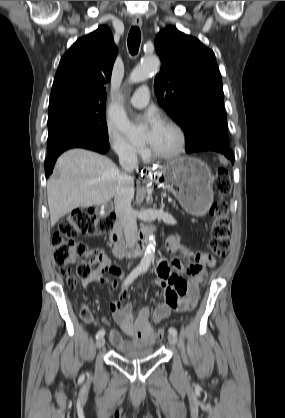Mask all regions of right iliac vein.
I'll return each mask as SVG.
<instances>
[{
	"mask_svg": "<svg viewBox=\"0 0 285 418\" xmlns=\"http://www.w3.org/2000/svg\"><path fill=\"white\" fill-rule=\"evenodd\" d=\"M104 344H105V338L103 336L99 337L96 341V348L100 349L104 346Z\"/></svg>",
	"mask_w": 285,
	"mask_h": 418,
	"instance_id": "right-iliac-vein-1",
	"label": "right iliac vein"
}]
</instances>
